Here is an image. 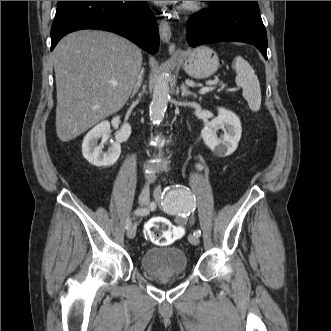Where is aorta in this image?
Listing matches in <instances>:
<instances>
[{
	"mask_svg": "<svg viewBox=\"0 0 331 331\" xmlns=\"http://www.w3.org/2000/svg\"><path fill=\"white\" fill-rule=\"evenodd\" d=\"M169 97V74L162 72L155 83L153 98L150 104V119L153 124H158L163 119Z\"/></svg>",
	"mask_w": 331,
	"mask_h": 331,
	"instance_id": "obj_1",
	"label": "aorta"
}]
</instances>
